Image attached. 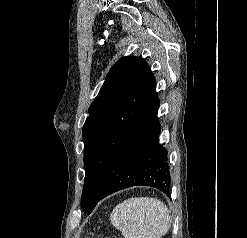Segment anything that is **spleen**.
I'll use <instances>...</instances> for the list:
<instances>
[{
    "label": "spleen",
    "instance_id": "obj_1",
    "mask_svg": "<svg viewBox=\"0 0 247 238\" xmlns=\"http://www.w3.org/2000/svg\"><path fill=\"white\" fill-rule=\"evenodd\" d=\"M110 220L125 238H161L171 225L167 206L152 197L123 201L113 209Z\"/></svg>",
    "mask_w": 247,
    "mask_h": 238
}]
</instances>
